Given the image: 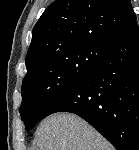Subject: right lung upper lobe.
Wrapping results in <instances>:
<instances>
[{"label": "right lung upper lobe", "mask_w": 139, "mask_h": 150, "mask_svg": "<svg viewBox=\"0 0 139 150\" xmlns=\"http://www.w3.org/2000/svg\"><path fill=\"white\" fill-rule=\"evenodd\" d=\"M135 20L129 0H56L33 28L27 73L61 52L109 46Z\"/></svg>", "instance_id": "obj_1"}]
</instances>
